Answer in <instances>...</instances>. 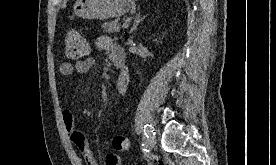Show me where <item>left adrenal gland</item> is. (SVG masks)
Returning <instances> with one entry per match:
<instances>
[{"label":"left adrenal gland","instance_id":"a2214340","mask_svg":"<svg viewBox=\"0 0 276 165\" xmlns=\"http://www.w3.org/2000/svg\"><path fill=\"white\" fill-rule=\"evenodd\" d=\"M144 18H145V16H144V17H141V14H140V13H138V14L135 16V18H134V23H133V26H132V28H131V30H130V33H132L134 30H136L137 26L139 25V23H140L141 21L144 20Z\"/></svg>","mask_w":276,"mask_h":165}]
</instances>
